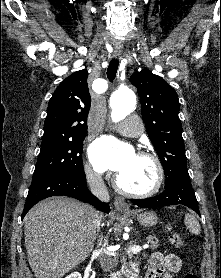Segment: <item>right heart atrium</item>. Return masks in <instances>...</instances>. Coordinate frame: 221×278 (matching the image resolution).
I'll return each mask as SVG.
<instances>
[{"mask_svg":"<svg viewBox=\"0 0 221 278\" xmlns=\"http://www.w3.org/2000/svg\"><path fill=\"white\" fill-rule=\"evenodd\" d=\"M84 173L88 181L97 182L100 178L99 174L96 173L88 164L84 166Z\"/></svg>","mask_w":221,"mask_h":278,"instance_id":"obj_1","label":"right heart atrium"}]
</instances>
